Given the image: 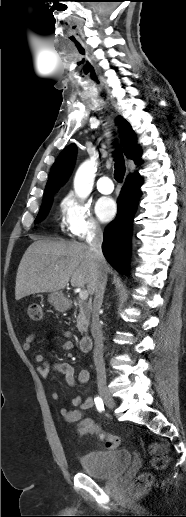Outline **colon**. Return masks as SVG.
Returning <instances> with one entry per match:
<instances>
[{"mask_svg": "<svg viewBox=\"0 0 186 517\" xmlns=\"http://www.w3.org/2000/svg\"><path fill=\"white\" fill-rule=\"evenodd\" d=\"M28 317L34 322H39L42 319V307L37 303H32L27 309ZM98 438L107 449H115L120 445V439L112 434L105 433L102 430L98 431ZM149 453L151 455V462L156 469L164 468L168 463V456L166 448L158 443H153L149 446ZM150 477L143 474L137 478L132 485V495L139 496L143 494L150 486Z\"/></svg>", "mask_w": 186, "mask_h": 517, "instance_id": "colon-1", "label": "colon"}]
</instances>
